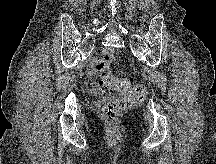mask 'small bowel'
Returning <instances> with one entry per match:
<instances>
[{"label":"small bowel","instance_id":"obj_1","mask_svg":"<svg viewBox=\"0 0 216 164\" xmlns=\"http://www.w3.org/2000/svg\"><path fill=\"white\" fill-rule=\"evenodd\" d=\"M94 73V72H93ZM93 91L96 93V94H100L102 91H101V88L98 86V85H94L93 86Z\"/></svg>","mask_w":216,"mask_h":164}]
</instances>
